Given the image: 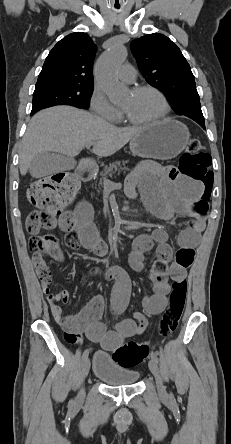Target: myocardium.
Segmentation results:
<instances>
[{
	"label": "myocardium",
	"mask_w": 231,
	"mask_h": 444,
	"mask_svg": "<svg viewBox=\"0 0 231 444\" xmlns=\"http://www.w3.org/2000/svg\"><path fill=\"white\" fill-rule=\"evenodd\" d=\"M145 91L153 92L161 99V101L163 103V111L159 116H157L153 119L145 120V121H136V120L132 119L130 116H128L126 114V112L122 109V114H123L124 119L132 125L143 126V125L157 124V123L163 121L170 113V110H171L170 102H169L167 96L157 87L152 86V85H141V86H137V87L132 88L131 93L138 94V93L145 92Z\"/></svg>",
	"instance_id": "f54148a6"
}]
</instances>
